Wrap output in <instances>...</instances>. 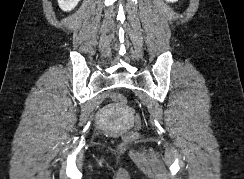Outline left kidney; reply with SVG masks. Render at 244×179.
Here are the masks:
<instances>
[{"label":"left kidney","mask_w":244,"mask_h":179,"mask_svg":"<svg viewBox=\"0 0 244 179\" xmlns=\"http://www.w3.org/2000/svg\"><path fill=\"white\" fill-rule=\"evenodd\" d=\"M165 2H178V0H165Z\"/></svg>","instance_id":"5707ae66"}]
</instances>
